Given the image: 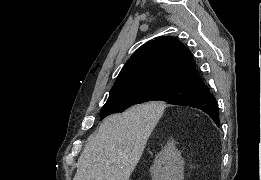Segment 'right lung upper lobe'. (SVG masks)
<instances>
[{"label":"right lung upper lobe","mask_w":261,"mask_h":180,"mask_svg":"<svg viewBox=\"0 0 261 180\" xmlns=\"http://www.w3.org/2000/svg\"><path fill=\"white\" fill-rule=\"evenodd\" d=\"M163 80L203 83L192 53L170 36L149 41L137 49L123 66L111 91Z\"/></svg>","instance_id":"obj_1"}]
</instances>
